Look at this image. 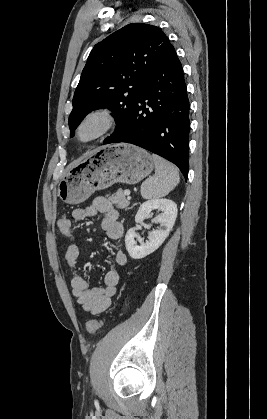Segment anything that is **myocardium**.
<instances>
[{
    "label": "myocardium",
    "instance_id": "obj_1",
    "mask_svg": "<svg viewBox=\"0 0 267 419\" xmlns=\"http://www.w3.org/2000/svg\"><path fill=\"white\" fill-rule=\"evenodd\" d=\"M117 118L109 107H97L89 110L79 121L76 128L77 139L84 144L93 143L107 135L116 125ZM95 125V131L88 137L83 136L84 129Z\"/></svg>",
    "mask_w": 267,
    "mask_h": 419
}]
</instances>
